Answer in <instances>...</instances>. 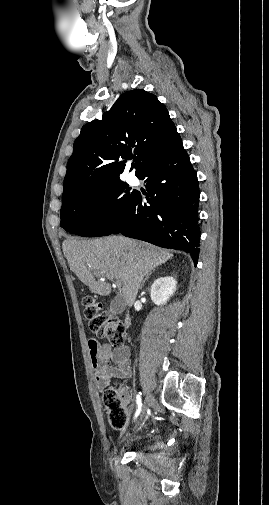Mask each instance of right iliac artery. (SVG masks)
<instances>
[{"instance_id": "obj_1", "label": "right iliac artery", "mask_w": 269, "mask_h": 505, "mask_svg": "<svg viewBox=\"0 0 269 505\" xmlns=\"http://www.w3.org/2000/svg\"><path fill=\"white\" fill-rule=\"evenodd\" d=\"M136 402H137V410H136L134 419H136L141 412V408H142L141 392L137 395Z\"/></svg>"}]
</instances>
